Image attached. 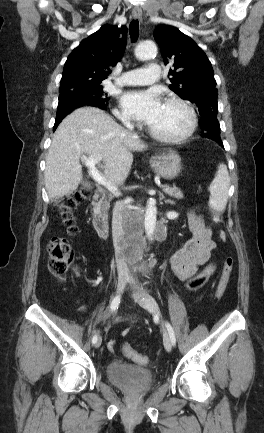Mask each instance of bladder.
<instances>
[{
	"mask_svg": "<svg viewBox=\"0 0 264 433\" xmlns=\"http://www.w3.org/2000/svg\"><path fill=\"white\" fill-rule=\"evenodd\" d=\"M107 374L115 386L129 393H146L153 385L151 372L120 362L110 363Z\"/></svg>",
	"mask_w": 264,
	"mask_h": 433,
	"instance_id": "obj_1",
	"label": "bladder"
}]
</instances>
